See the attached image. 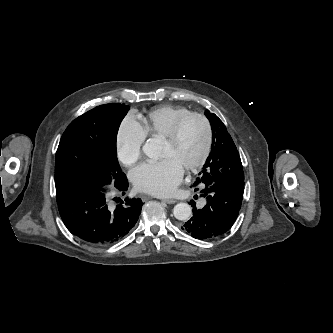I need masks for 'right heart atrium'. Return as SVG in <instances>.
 <instances>
[{
    "instance_id": "obj_1",
    "label": "right heart atrium",
    "mask_w": 333,
    "mask_h": 333,
    "mask_svg": "<svg viewBox=\"0 0 333 333\" xmlns=\"http://www.w3.org/2000/svg\"><path fill=\"white\" fill-rule=\"evenodd\" d=\"M145 139L146 134L141 124L132 115H127L122 120L115 137L118 160L128 167L136 163L141 157Z\"/></svg>"
}]
</instances>
